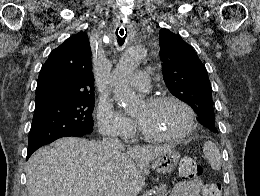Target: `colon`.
<instances>
[{
	"label": "colon",
	"mask_w": 260,
	"mask_h": 196,
	"mask_svg": "<svg viewBox=\"0 0 260 196\" xmlns=\"http://www.w3.org/2000/svg\"><path fill=\"white\" fill-rule=\"evenodd\" d=\"M179 177L185 183L201 181L203 179V168L195 160L182 159L179 165Z\"/></svg>",
	"instance_id": "5ec220e1"
}]
</instances>
